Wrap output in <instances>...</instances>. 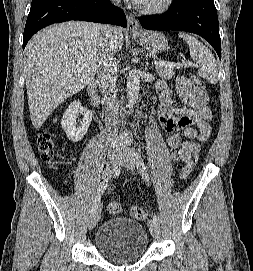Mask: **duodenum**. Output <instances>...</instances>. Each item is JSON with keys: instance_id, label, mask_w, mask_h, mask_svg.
I'll list each match as a JSON object with an SVG mask.
<instances>
[{"instance_id": "duodenum-1", "label": "duodenum", "mask_w": 253, "mask_h": 271, "mask_svg": "<svg viewBox=\"0 0 253 271\" xmlns=\"http://www.w3.org/2000/svg\"><path fill=\"white\" fill-rule=\"evenodd\" d=\"M97 88H98V82L96 80H93L88 86V94H89L92 104L95 107H98L100 105V100L97 96Z\"/></svg>"}]
</instances>
